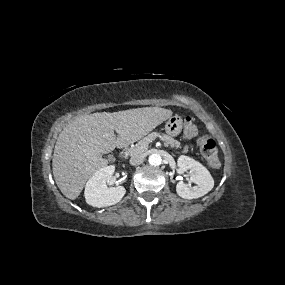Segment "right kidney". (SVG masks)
<instances>
[{"label":"right kidney","instance_id":"ca27d5eb","mask_svg":"<svg viewBox=\"0 0 285 285\" xmlns=\"http://www.w3.org/2000/svg\"><path fill=\"white\" fill-rule=\"evenodd\" d=\"M115 166L99 169L86 183L84 196L87 204L93 207H107L118 203L126 193L123 186L108 187Z\"/></svg>","mask_w":285,"mask_h":285}]
</instances>
